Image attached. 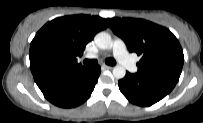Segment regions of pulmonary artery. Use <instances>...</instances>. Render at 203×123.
<instances>
[{"instance_id": "obj_1", "label": "pulmonary artery", "mask_w": 203, "mask_h": 123, "mask_svg": "<svg viewBox=\"0 0 203 123\" xmlns=\"http://www.w3.org/2000/svg\"><path fill=\"white\" fill-rule=\"evenodd\" d=\"M113 54L120 64L127 69L129 72H136L137 66L132 58L127 53L125 44L120 39H115L112 45ZM98 56H89V58H97Z\"/></svg>"}]
</instances>
